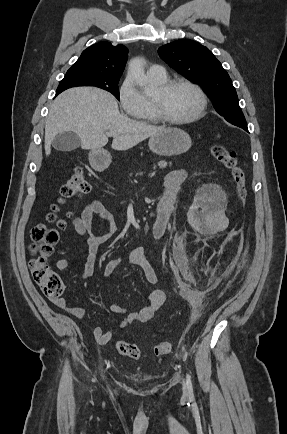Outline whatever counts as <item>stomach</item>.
Listing matches in <instances>:
<instances>
[{
    "instance_id": "obj_1",
    "label": "stomach",
    "mask_w": 287,
    "mask_h": 434,
    "mask_svg": "<svg viewBox=\"0 0 287 434\" xmlns=\"http://www.w3.org/2000/svg\"><path fill=\"white\" fill-rule=\"evenodd\" d=\"M150 150L160 156L180 155L187 152L192 141L190 136L179 128H165L149 139ZM91 164L105 168L111 163V155L104 149H93L89 154Z\"/></svg>"
}]
</instances>
